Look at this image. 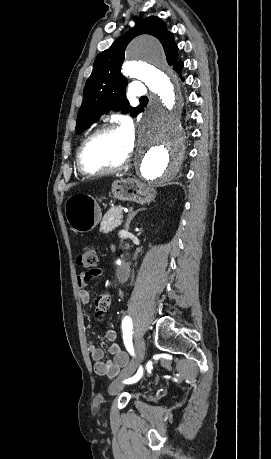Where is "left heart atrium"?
I'll use <instances>...</instances> for the list:
<instances>
[{
    "mask_svg": "<svg viewBox=\"0 0 271 459\" xmlns=\"http://www.w3.org/2000/svg\"><path fill=\"white\" fill-rule=\"evenodd\" d=\"M121 132L127 139L131 149L134 147L137 137L136 126L133 121L125 119L121 124Z\"/></svg>",
    "mask_w": 271,
    "mask_h": 459,
    "instance_id": "1",
    "label": "left heart atrium"
}]
</instances>
